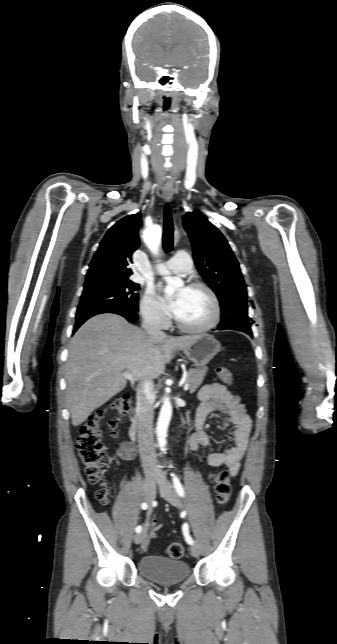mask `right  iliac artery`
<instances>
[{
	"mask_svg": "<svg viewBox=\"0 0 337 644\" xmlns=\"http://www.w3.org/2000/svg\"><path fill=\"white\" fill-rule=\"evenodd\" d=\"M141 508H142L143 510H146V509L148 508L147 503H142V504H141ZM135 531H136L137 533L141 532V531H142V527H141L140 525H139V526H137V527L135 528Z\"/></svg>",
	"mask_w": 337,
	"mask_h": 644,
	"instance_id": "right-iliac-artery-1",
	"label": "right iliac artery"
}]
</instances>
